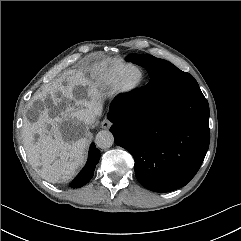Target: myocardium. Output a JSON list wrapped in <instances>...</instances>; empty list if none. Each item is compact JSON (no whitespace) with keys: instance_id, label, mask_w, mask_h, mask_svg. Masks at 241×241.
<instances>
[{"instance_id":"f54148a6","label":"myocardium","mask_w":241,"mask_h":241,"mask_svg":"<svg viewBox=\"0 0 241 241\" xmlns=\"http://www.w3.org/2000/svg\"><path fill=\"white\" fill-rule=\"evenodd\" d=\"M132 68H136L139 71L140 76L136 81L128 82L126 81L125 76H126V73ZM144 80H145V71L143 70V68H141L136 64H128L118 74L114 84V91L120 97L130 96L140 89Z\"/></svg>"}]
</instances>
